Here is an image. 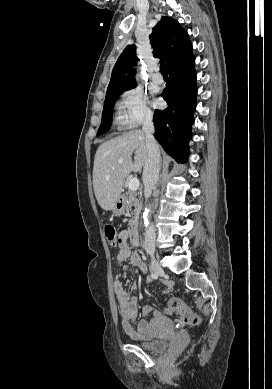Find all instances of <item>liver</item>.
<instances>
[{
    "mask_svg": "<svg viewBox=\"0 0 272 389\" xmlns=\"http://www.w3.org/2000/svg\"><path fill=\"white\" fill-rule=\"evenodd\" d=\"M147 155L146 137L141 130L130 131L98 147L93 167V188L103 210H112L126 177L132 171L141 172Z\"/></svg>",
    "mask_w": 272,
    "mask_h": 389,
    "instance_id": "1",
    "label": "liver"
}]
</instances>
